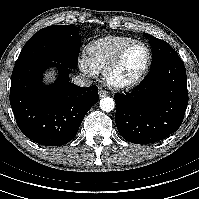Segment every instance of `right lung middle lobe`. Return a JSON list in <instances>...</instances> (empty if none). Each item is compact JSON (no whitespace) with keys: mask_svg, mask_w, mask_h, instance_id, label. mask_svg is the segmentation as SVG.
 Instances as JSON below:
<instances>
[{"mask_svg":"<svg viewBox=\"0 0 199 199\" xmlns=\"http://www.w3.org/2000/svg\"><path fill=\"white\" fill-rule=\"evenodd\" d=\"M79 28L55 25L39 30L24 45L13 72L38 62H58L70 69L78 63Z\"/></svg>","mask_w":199,"mask_h":199,"instance_id":"obj_1","label":"right lung middle lobe"}]
</instances>
